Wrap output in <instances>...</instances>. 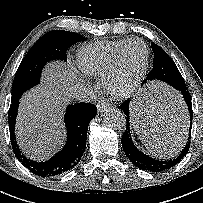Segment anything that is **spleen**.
<instances>
[{"instance_id": "3e777b00", "label": "spleen", "mask_w": 203, "mask_h": 203, "mask_svg": "<svg viewBox=\"0 0 203 203\" xmlns=\"http://www.w3.org/2000/svg\"><path fill=\"white\" fill-rule=\"evenodd\" d=\"M147 95L153 109L167 111L170 105H173L175 109H179L181 107L185 111L184 107L182 106V99L180 98V96L166 86L163 85L155 86L150 90V92ZM185 142H186V132H184V135L180 136L177 141H175L168 147L164 148L161 153L157 154H163L164 156L166 154L169 156H174L178 154V152L183 148ZM152 152L153 154H156L154 151Z\"/></svg>"}]
</instances>
